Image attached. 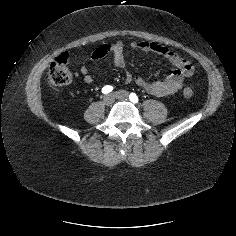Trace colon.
Instances as JSON below:
<instances>
[{
    "instance_id": "5ec220e1",
    "label": "colon",
    "mask_w": 236,
    "mask_h": 236,
    "mask_svg": "<svg viewBox=\"0 0 236 236\" xmlns=\"http://www.w3.org/2000/svg\"><path fill=\"white\" fill-rule=\"evenodd\" d=\"M69 55L62 54L55 58L50 64L47 80L52 87H63L71 83L73 79L72 72L69 68ZM193 95L190 87H185L184 96L191 98Z\"/></svg>"
}]
</instances>
